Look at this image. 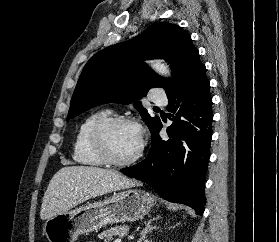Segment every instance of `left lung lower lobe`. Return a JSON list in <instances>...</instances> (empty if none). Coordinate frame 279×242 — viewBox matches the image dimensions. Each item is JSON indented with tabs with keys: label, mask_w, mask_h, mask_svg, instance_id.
<instances>
[{
	"label": "left lung lower lobe",
	"mask_w": 279,
	"mask_h": 242,
	"mask_svg": "<svg viewBox=\"0 0 279 242\" xmlns=\"http://www.w3.org/2000/svg\"><path fill=\"white\" fill-rule=\"evenodd\" d=\"M205 71L197 51L182 80L167 93V110L173 120L167 128L168 138L159 136V122L151 132L152 146L146 159L120 170L149 184L163 199L192 207L197 215L204 212L213 121Z\"/></svg>",
	"instance_id": "left-lung-lower-lobe-1"
}]
</instances>
